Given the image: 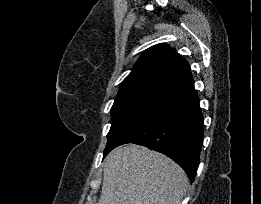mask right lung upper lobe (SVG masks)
<instances>
[{"instance_id": "right-lung-upper-lobe-1", "label": "right lung upper lobe", "mask_w": 261, "mask_h": 204, "mask_svg": "<svg viewBox=\"0 0 261 204\" xmlns=\"http://www.w3.org/2000/svg\"><path fill=\"white\" fill-rule=\"evenodd\" d=\"M191 79L188 62L168 45L157 44L141 55L120 84L118 95L142 91L168 94Z\"/></svg>"}]
</instances>
